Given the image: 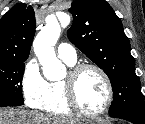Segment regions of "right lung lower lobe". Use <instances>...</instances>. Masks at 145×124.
Returning a JSON list of instances; mask_svg holds the SVG:
<instances>
[{"mask_svg":"<svg viewBox=\"0 0 145 124\" xmlns=\"http://www.w3.org/2000/svg\"><path fill=\"white\" fill-rule=\"evenodd\" d=\"M23 101H6V102H0V107H7V106H20L23 105Z\"/></svg>","mask_w":145,"mask_h":124,"instance_id":"right-lung-lower-lobe-1","label":"right lung lower lobe"}]
</instances>
